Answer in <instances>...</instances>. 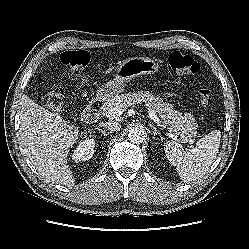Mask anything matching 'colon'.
I'll use <instances>...</instances> for the list:
<instances>
[{"mask_svg":"<svg viewBox=\"0 0 249 249\" xmlns=\"http://www.w3.org/2000/svg\"><path fill=\"white\" fill-rule=\"evenodd\" d=\"M60 62L72 73H80L89 63L90 54L85 50L64 51L59 57ZM170 68L183 76H195L200 73V65L191 56L180 52H172L168 57ZM200 102L203 106L210 103L211 90L203 87L199 90ZM65 93L61 86H54L42 98L43 105L53 112H61L64 108Z\"/></svg>","mask_w":249,"mask_h":249,"instance_id":"obj_1","label":"colon"}]
</instances>
